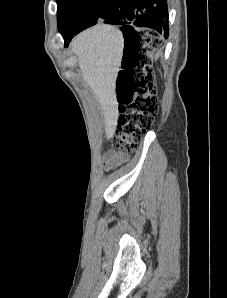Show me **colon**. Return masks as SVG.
I'll return each mask as SVG.
<instances>
[{
    "mask_svg": "<svg viewBox=\"0 0 227 298\" xmlns=\"http://www.w3.org/2000/svg\"><path fill=\"white\" fill-rule=\"evenodd\" d=\"M157 44L156 38L144 40L140 35L136 48L124 57L116 80L119 117L112 139L115 149L136 150L156 116L158 99L150 63Z\"/></svg>",
    "mask_w": 227,
    "mask_h": 298,
    "instance_id": "obj_1",
    "label": "colon"
}]
</instances>
